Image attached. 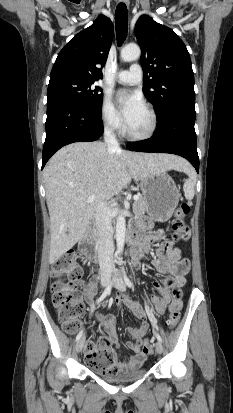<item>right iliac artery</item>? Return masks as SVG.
Listing matches in <instances>:
<instances>
[{
    "label": "right iliac artery",
    "mask_w": 233,
    "mask_h": 413,
    "mask_svg": "<svg viewBox=\"0 0 233 413\" xmlns=\"http://www.w3.org/2000/svg\"><path fill=\"white\" fill-rule=\"evenodd\" d=\"M111 289H112V282L107 286V288L105 289V291L102 293V295L100 296V298L97 300V304L100 303L102 300H104V298H105L108 294H110ZM82 334H83V330H81V331L79 332V334L77 335L76 341H78V340L81 338Z\"/></svg>",
    "instance_id": "82829eb1"
}]
</instances>
